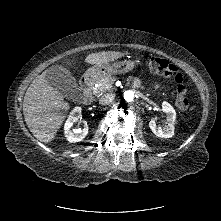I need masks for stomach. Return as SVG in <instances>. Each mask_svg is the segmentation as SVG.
Wrapping results in <instances>:
<instances>
[{
  "label": "stomach",
  "mask_w": 221,
  "mask_h": 221,
  "mask_svg": "<svg viewBox=\"0 0 221 221\" xmlns=\"http://www.w3.org/2000/svg\"><path fill=\"white\" fill-rule=\"evenodd\" d=\"M136 63L131 60L117 61L112 64H103L101 66L95 65L89 68L86 76L93 80H98L112 74H122L133 70Z\"/></svg>",
  "instance_id": "obj_1"
}]
</instances>
